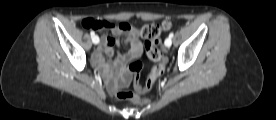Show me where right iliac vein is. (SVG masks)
<instances>
[{"instance_id": "1", "label": "right iliac vein", "mask_w": 276, "mask_h": 120, "mask_svg": "<svg viewBox=\"0 0 276 120\" xmlns=\"http://www.w3.org/2000/svg\"><path fill=\"white\" fill-rule=\"evenodd\" d=\"M98 38V36H95V39H97ZM93 41V40H92ZM94 43V42H93ZM99 43V42H98ZM98 43H94V44H98Z\"/></svg>"}]
</instances>
